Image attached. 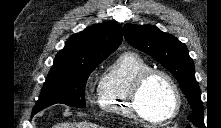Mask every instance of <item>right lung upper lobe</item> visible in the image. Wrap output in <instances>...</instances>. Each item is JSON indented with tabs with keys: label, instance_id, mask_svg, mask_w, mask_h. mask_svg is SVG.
<instances>
[{
	"label": "right lung upper lobe",
	"instance_id": "1",
	"mask_svg": "<svg viewBox=\"0 0 221 128\" xmlns=\"http://www.w3.org/2000/svg\"><path fill=\"white\" fill-rule=\"evenodd\" d=\"M122 28L108 22L72 35L54 59L51 71L67 69L107 58L121 44Z\"/></svg>",
	"mask_w": 221,
	"mask_h": 128
}]
</instances>
